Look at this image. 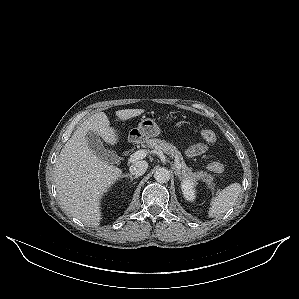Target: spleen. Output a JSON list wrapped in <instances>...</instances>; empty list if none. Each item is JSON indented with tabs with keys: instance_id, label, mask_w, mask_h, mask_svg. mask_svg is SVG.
Wrapping results in <instances>:
<instances>
[{
	"instance_id": "obj_1",
	"label": "spleen",
	"mask_w": 299,
	"mask_h": 299,
	"mask_svg": "<svg viewBox=\"0 0 299 299\" xmlns=\"http://www.w3.org/2000/svg\"><path fill=\"white\" fill-rule=\"evenodd\" d=\"M240 192L239 183H233L224 188L217 196L211 198L208 216L214 218L226 213L235 204Z\"/></svg>"
}]
</instances>
